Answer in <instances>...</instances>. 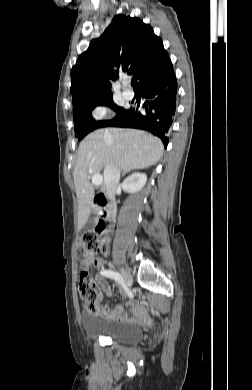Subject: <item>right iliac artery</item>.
<instances>
[{"instance_id":"1","label":"right iliac artery","mask_w":252,"mask_h":390,"mask_svg":"<svg viewBox=\"0 0 252 390\" xmlns=\"http://www.w3.org/2000/svg\"><path fill=\"white\" fill-rule=\"evenodd\" d=\"M103 276L105 277H108V278H111L113 280H118V277H121V274H119L118 272L116 271H113V270H107V269H102L101 272H100ZM122 280H124V277H121V280H119L121 282V286H123V289H125V292L127 293V295L129 296L130 299H134L135 298V295H134V292L131 291V289L129 288V286H126V283H122Z\"/></svg>"}]
</instances>
